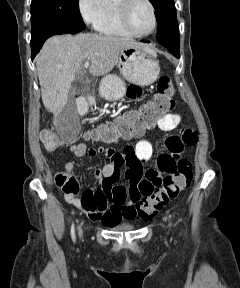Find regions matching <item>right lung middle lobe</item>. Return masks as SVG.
Returning <instances> with one entry per match:
<instances>
[{
  "label": "right lung middle lobe",
  "instance_id": "obj_1",
  "mask_svg": "<svg viewBox=\"0 0 240 288\" xmlns=\"http://www.w3.org/2000/svg\"><path fill=\"white\" fill-rule=\"evenodd\" d=\"M55 26L85 28L79 11V0H32L31 44L43 32Z\"/></svg>",
  "mask_w": 240,
  "mask_h": 288
}]
</instances>
